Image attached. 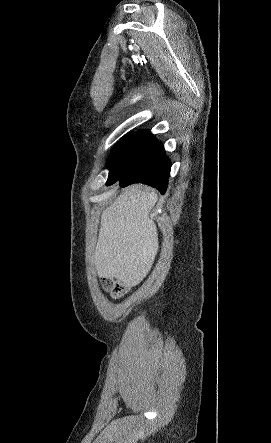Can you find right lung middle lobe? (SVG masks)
Listing matches in <instances>:
<instances>
[{"mask_svg": "<svg viewBox=\"0 0 271 443\" xmlns=\"http://www.w3.org/2000/svg\"><path fill=\"white\" fill-rule=\"evenodd\" d=\"M131 134H129L127 137L123 138L120 142H118L115 147L113 148L109 160H108V167H110L115 160L117 159V157L119 156L125 142L127 141V139L130 137Z\"/></svg>", "mask_w": 271, "mask_h": 443, "instance_id": "dd1d6c3e", "label": "right lung middle lobe"}]
</instances>
